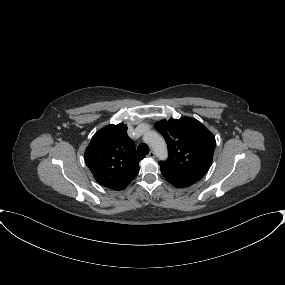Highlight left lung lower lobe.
Here are the masks:
<instances>
[{
    "instance_id": "left-lung-lower-lobe-1",
    "label": "left lung lower lobe",
    "mask_w": 285,
    "mask_h": 285,
    "mask_svg": "<svg viewBox=\"0 0 285 285\" xmlns=\"http://www.w3.org/2000/svg\"><path fill=\"white\" fill-rule=\"evenodd\" d=\"M162 175L164 178L173 186L177 188H184L191 186L192 184L199 181L203 175H182L170 172L163 168H160Z\"/></svg>"
}]
</instances>
